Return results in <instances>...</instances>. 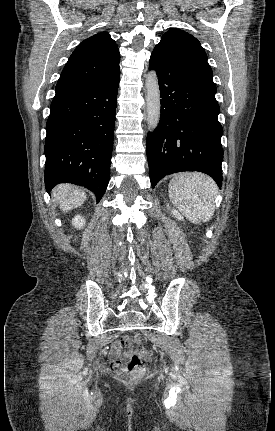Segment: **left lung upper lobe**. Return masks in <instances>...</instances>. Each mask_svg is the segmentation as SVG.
I'll list each match as a JSON object with an SVG mask.
<instances>
[{
	"instance_id": "5c2ea615",
	"label": "left lung upper lobe",
	"mask_w": 275,
	"mask_h": 431,
	"mask_svg": "<svg viewBox=\"0 0 275 431\" xmlns=\"http://www.w3.org/2000/svg\"><path fill=\"white\" fill-rule=\"evenodd\" d=\"M156 48L187 69L205 90L215 95L216 86L212 79V69L207 62L204 49L195 37L185 31L171 29L162 36Z\"/></svg>"
}]
</instances>
